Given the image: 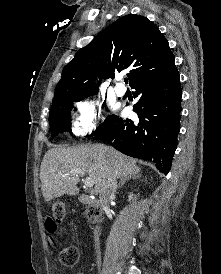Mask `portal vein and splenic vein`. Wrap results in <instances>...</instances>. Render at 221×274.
<instances>
[{
  "mask_svg": "<svg viewBox=\"0 0 221 274\" xmlns=\"http://www.w3.org/2000/svg\"><path fill=\"white\" fill-rule=\"evenodd\" d=\"M70 175H81V176H84L85 173L83 171H81V170H75V171H72L70 173ZM84 185H85V187L91 188L94 185V180L91 177H87L84 180Z\"/></svg>",
  "mask_w": 221,
  "mask_h": 274,
  "instance_id": "1",
  "label": "portal vein and splenic vein"
}]
</instances>
